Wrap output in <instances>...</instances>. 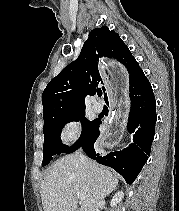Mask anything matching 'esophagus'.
<instances>
[{"label":"esophagus","mask_w":179,"mask_h":211,"mask_svg":"<svg viewBox=\"0 0 179 211\" xmlns=\"http://www.w3.org/2000/svg\"><path fill=\"white\" fill-rule=\"evenodd\" d=\"M103 69V79L106 82L107 94H109V116L105 133H101L98 149H111V145H118L122 141V133L126 130L128 117L127 109H130V98H128L125 67H118L117 64H100Z\"/></svg>","instance_id":"34e87169"}]
</instances>
